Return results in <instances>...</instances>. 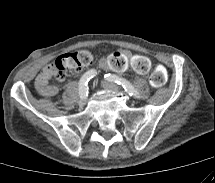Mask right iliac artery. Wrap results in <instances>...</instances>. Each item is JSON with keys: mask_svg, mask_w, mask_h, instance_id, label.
Listing matches in <instances>:
<instances>
[{"mask_svg": "<svg viewBox=\"0 0 215 183\" xmlns=\"http://www.w3.org/2000/svg\"><path fill=\"white\" fill-rule=\"evenodd\" d=\"M97 72L94 69L87 71L79 81V95L80 97H86L88 94V81L96 76Z\"/></svg>", "mask_w": 215, "mask_h": 183, "instance_id": "1", "label": "right iliac artery"}]
</instances>
